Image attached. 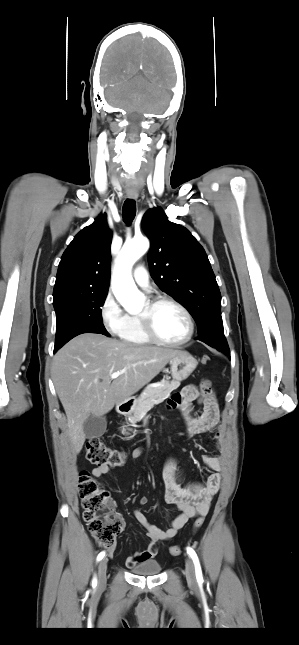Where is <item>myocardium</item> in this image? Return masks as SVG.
<instances>
[{"label":"myocardium","instance_id":"obj_1","mask_svg":"<svg viewBox=\"0 0 299 645\" xmlns=\"http://www.w3.org/2000/svg\"><path fill=\"white\" fill-rule=\"evenodd\" d=\"M146 304H147L146 309L144 310V312L138 315V318L140 320L144 333L152 342L165 345V346H180L192 339L195 331L194 319L190 311L181 302L169 296H156L148 299ZM161 304H171L176 308H178L184 314L188 323V331H187V334L182 339L175 340V341L166 340L161 338L156 333L153 326L152 314L154 309Z\"/></svg>","mask_w":299,"mask_h":645}]
</instances>
